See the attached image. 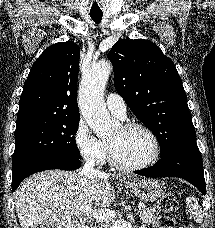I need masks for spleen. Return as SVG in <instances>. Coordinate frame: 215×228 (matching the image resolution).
Wrapping results in <instances>:
<instances>
[{"instance_id": "obj_1", "label": "spleen", "mask_w": 215, "mask_h": 228, "mask_svg": "<svg viewBox=\"0 0 215 228\" xmlns=\"http://www.w3.org/2000/svg\"><path fill=\"white\" fill-rule=\"evenodd\" d=\"M187 206H190L191 208V216H193V218H196V220H198L200 216L199 206L198 204H196L194 198H187Z\"/></svg>"}]
</instances>
